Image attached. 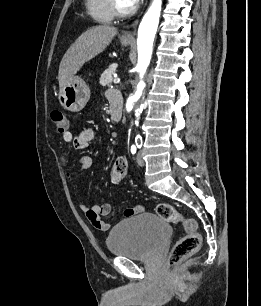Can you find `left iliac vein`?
<instances>
[{"instance_id":"obj_1","label":"left iliac vein","mask_w":261,"mask_h":306,"mask_svg":"<svg viewBox=\"0 0 261 306\" xmlns=\"http://www.w3.org/2000/svg\"><path fill=\"white\" fill-rule=\"evenodd\" d=\"M136 162L139 166H144L145 165V161L143 159L141 151H138L137 154H136Z\"/></svg>"}]
</instances>
